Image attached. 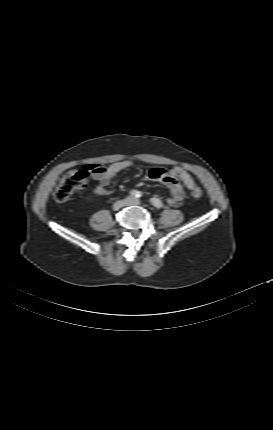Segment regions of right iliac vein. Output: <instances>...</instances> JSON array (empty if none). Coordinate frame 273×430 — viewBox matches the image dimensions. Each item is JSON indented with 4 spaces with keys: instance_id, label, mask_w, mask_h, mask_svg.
<instances>
[{
    "instance_id": "right-iliac-vein-1",
    "label": "right iliac vein",
    "mask_w": 273,
    "mask_h": 430,
    "mask_svg": "<svg viewBox=\"0 0 273 430\" xmlns=\"http://www.w3.org/2000/svg\"><path fill=\"white\" fill-rule=\"evenodd\" d=\"M126 202H127V199H125V200H119V201L115 202L113 204V209L114 210H119L121 207H123V206L126 205Z\"/></svg>"
}]
</instances>
